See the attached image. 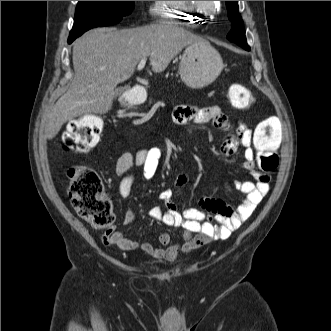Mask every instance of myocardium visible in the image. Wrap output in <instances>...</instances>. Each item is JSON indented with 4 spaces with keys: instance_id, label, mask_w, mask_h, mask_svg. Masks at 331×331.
<instances>
[{
    "instance_id": "1",
    "label": "myocardium",
    "mask_w": 331,
    "mask_h": 331,
    "mask_svg": "<svg viewBox=\"0 0 331 331\" xmlns=\"http://www.w3.org/2000/svg\"><path fill=\"white\" fill-rule=\"evenodd\" d=\"M193 6L199 10L210 11L214 6V1H193Z\"/></svg>"
}]
</instances>
